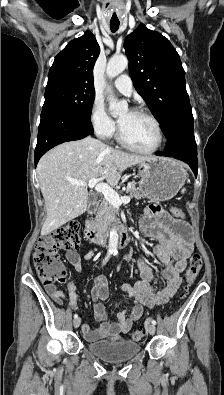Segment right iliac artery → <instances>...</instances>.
<instances>
[{"instance_id": "right-iliac-artery-1", "label": "right iliac artery", "mask_w": 224, "mask_h": 395, "mask_svg": "<svg viewBox=\"0 0 224 395\" xmlns=\"http://www.w3.org/2000/svg\"><path fill=\"white\" fill-rule=\"evenodd\" d=\"M112 254V252H108L107 256L105 257V259L103 260V265L108 261V259L110 258V255ZM74 318L77 319L78 315L75 314Z\"/></svg>"}]
</instances>
